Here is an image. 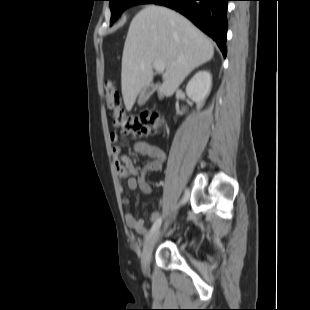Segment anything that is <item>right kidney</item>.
Instances as JSON below:
<instances>
[{
    "mask_svg": "<svg viewBox=\"0 0 310 310\" xmlns=\"http://www.w3.org/2000/svg\"><path fill=\"white\" fill-rule=\"evenodd\" d=\"M212 87V76L209 71H198L186 86L187 96L200 108L208 97Z\"/></svg>",
    "mask_w": 310,
    "mask_h": 310,
    "instance_id": "right-kidney-1",
    "label": "right kidney"
}]
</instances>
